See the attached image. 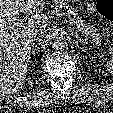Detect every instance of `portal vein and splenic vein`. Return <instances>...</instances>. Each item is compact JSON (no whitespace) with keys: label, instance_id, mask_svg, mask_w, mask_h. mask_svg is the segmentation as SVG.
<instances>
[{"label":"portal vein and splenic vein","instance_id":"portal-vein-and-splenic-vein-1","mask_svg":"<svg viewBox=\"0 0 113 113\" xmlns=\"http://www.w3.org/2000/svg\"><path fill=\"white\" fill-rule=\"evenodd\" d=\"M25 18H20L15 22V26L19 29L24 27Z\"/></svg>","mask_w":113,"mask_h":113}]
</instances>
